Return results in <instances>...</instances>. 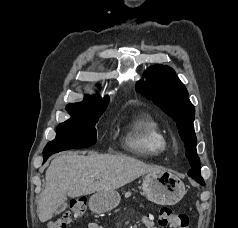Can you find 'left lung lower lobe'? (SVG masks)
<instances>
[{
	"label": "left lung lower lobe",
	"instance_id": "0a47b994",
	"mask_svg": "<svg viewBox=\"0 0 238 228\" xmlns=\"http://www.w3.org/2000/svg\"><path fill=\"white\" fill-rule=\"evenodd\" d=\"M192 177V176H190ZM193 179H195L197 182H199L200 184L204 185V180L202 177H192Z\"/></svg>",
	"mask_w": 238,
	"mask_h": 228
}]
</instances>
